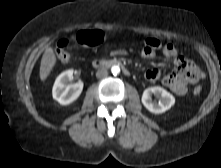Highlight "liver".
<instances>
[{
    "label": "liver",
    "instance_id": "obj_1",
    "mask_svg": "<svg viewBox=\"0 0 221 168\" xmlns=\"http://www.w3.org/2000/svg\"><path fill=\"white\" fill-rule=\"evenodd\" d=\"M56 64V56L51 47L47 48L42 56L40 64V79L44 82Z\"/></svg>",
    "mask_w": 221,
    "mask_h": 168
}]
</instances>
